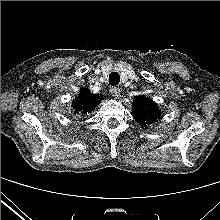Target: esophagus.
Listing matches in <instances>:
<instances>
[{
  "label": "esophagus",
  "mask_w": 220,
  "mask_h": 220,
  "mask_svg": "<svg viewBox=\"0 0 220 220\" xmlns=\"http://www.w3.org/2000/svg\"><path fill=\"white\" fill-rule=\"evenodd\" d=\"M110 93L113 97L117 98L120 95V89L118 87H111Z\"/></svg>",
  "instance_id": "34e87169"
}]
</instances>
